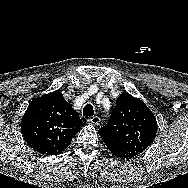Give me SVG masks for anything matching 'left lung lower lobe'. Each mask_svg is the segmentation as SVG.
<instances>
[{
    "instance_id": "0a47b994",
    "label": "left lung lower lobe",
    "mask_w": 188,
    "mask_h": 188,
    "mask_svg": "<svg viewBox=\"0 0 188 188\" xmlns=\"http://www.w3.org/2000/svg\"><path fill=\"white\" fill-rule=\"evenodd\" d=\"M107 148L117 157L123 158V159H127L128 157L126 155H124L123 153L119 152L117 149L111 147L109 144H106Z\"/></svg>"
}]
</instances>
